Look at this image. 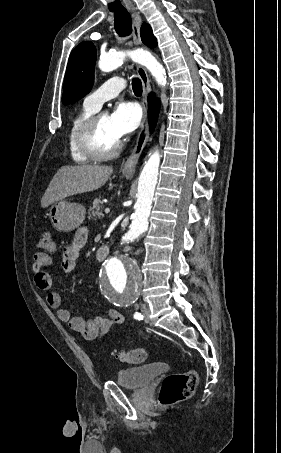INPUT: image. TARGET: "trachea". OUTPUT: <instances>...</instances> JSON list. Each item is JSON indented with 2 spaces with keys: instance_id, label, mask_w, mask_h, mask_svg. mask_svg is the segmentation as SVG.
Segmentation results:
<instances>
[{
  "instance_id": "3493384b",
  "label": "trachea",
  "mask_w": 281,
  "mask_h": 453,
  "mask_svg": "<svg viewBox=\"0 0 281 453\" xmlns=\"http://www.w3.org/2000/svg\"><path fill=\"white\" fill-rule=\"evenodd\" d=\"M115 30L119 36H129L132 33V19L128 12L114 13ZM135 95H142V83L138 78L132 80Z\"/></svg>"
}]
</instances>
